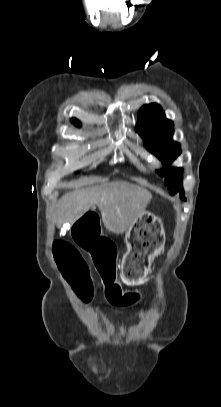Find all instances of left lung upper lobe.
Instances as JSON below:
<instances>
[{
    "label": "left lung upper lobe",
    "instance_id": "left-lung-upper-lobe-1",
    "mask_svg": "<svg viewBox=\"0 0 221 407\" xmlns=\"http://www.w3.org/2000/svg\"><path fill=\"white\" fill-rule=\"evenodd\" d=\"M136 131L145 140L146 148L156 155L162 162L170 163L180 155V145L172 140L174 132L173 122L166 119L165 113L158 104H149L141 108L138 116ZM166 173L164 183L169 188L170 194L183 195L182 169L169 168L159 170L158 174Z\"/></svg>",
    "mask_w": 221,
    "mask_h": 407
}]
</instances>
